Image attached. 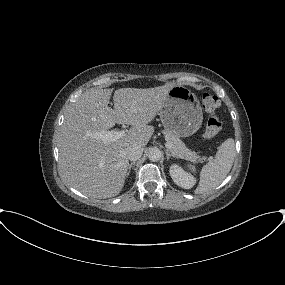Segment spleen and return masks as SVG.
Returning <instances> with one entry per match:
<instances>
[{
  "label": "spleen",
  "instance_id": "spleen-1",
  "mask_svg": "<svg viewBox=\"0 0 285 285\" xmlns=\"http://www.w3.org/2000/svg\"><path fill=\"white\" fill-rule=\"evenodd\" d=\"M235 142L232 138L225 140L211 161L202 167L196 194H203L216 188L230 172L235 158ZM194 171V167H192Z\"/></svg>",
  "mask_w": 285,
  "mask_h": 285
}]
</instances>
